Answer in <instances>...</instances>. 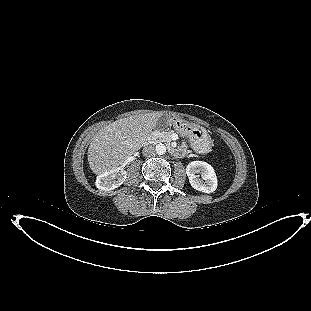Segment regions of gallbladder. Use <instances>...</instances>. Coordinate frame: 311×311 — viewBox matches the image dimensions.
Wrapping results in <instances>:
<instances>
[{"instance_id": "gallbladder-1", "label": "gallbladder", "mask_w": 311, "mask_h": 311, "mask_svg": "<svg viewBox=\"0 0 311 311\" xmlns=\"http://www.w3.org/2000/svg\"><path fill=\"white\" fill-rule=\"evenodd\" d=\"M169 122V116L168 115H162L157 122V127H164L167 125V123Z\"/></svg>"}]
</instances>
